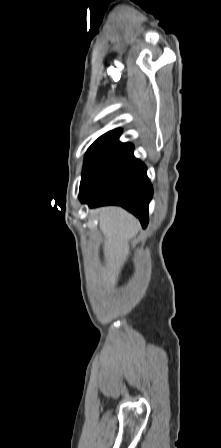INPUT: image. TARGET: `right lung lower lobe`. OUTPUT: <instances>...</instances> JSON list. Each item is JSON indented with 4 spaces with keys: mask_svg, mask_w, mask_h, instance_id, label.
<instances>
[{
    "mask_svg": "<svg viewBox=\"0 0 221 448\" xmlns=\"http://www.w3.org/2000/svg\"><path fill=\"white\" fill-rule=\"evenodd\" d=\"M133 145L124 143L113 149L80 189V200L90 207L119 205L148 224V205L153 187L147 168L133 156Z\"/></svg>",
    "mask_w": 221,
    "mask_h": 448,
    "instance_id": "1",
    "label": "right lung lower lobe"
}]
</instances>
